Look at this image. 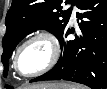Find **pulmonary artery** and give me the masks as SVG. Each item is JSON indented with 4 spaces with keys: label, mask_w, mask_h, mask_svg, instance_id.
Returning <instances> with one entry per match:
<instances>
[{
    "label": "pulmonary artery",
    "mask_w": 107,
    "mask_h": 89,
    "mask_svg": "<svg viewBox=\"0 0 107 89\" xmlns=\"http://www.w3.org/2000/svg\"><path fill=\"white\" fill-rule=\"evenodd\" d=\"M76 7L73 6V12H72V15H71V19L74 21L76 19Z\"/></svg>",
    "instance_id": "1"
}]
</instances>
